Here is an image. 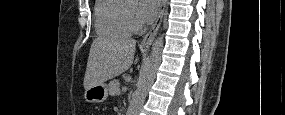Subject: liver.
I'll return each mask as SVG.
<instances>
[{"label":"liver","mask_w":285,"mask_h":115,"mask_svg":"<svg viewBox=\"0 0 285 115\" xmlns=\"http://www.w3.org/2000/svg\"><path fill=\"white\" fill-rule=\"evenodd\" d=\"M136 41L127 37H99L91 45L84 76L85 90L126 71L134 60ZM138 58L135 59V63Z\"/></svg>","instance_id":"6515ba94"}]
</instances>
